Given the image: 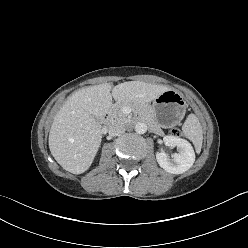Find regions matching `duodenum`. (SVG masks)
I'll return each instance as SVG.
<instances>
[{
  "label": "duodenum",
  "instance_id": "duodenum-1",
  "mask_svg": "<svg viewBox=\"0 0 248 248\" xmlns=\"http://www.w3.org/2000/svg\"><path fill=\"white\" fill-rule=\"evenodd\" d=\"M110 120V114L107 112L103 115V117L101 118V123L103 125L107 124Z\"/></svg>",
  "mask_w": 248,
  "mask_h": 248
}]
</instances>
